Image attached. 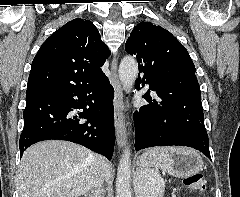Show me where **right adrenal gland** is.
I'll return each mask as SVG.
<instances>
[{
    "label": "right adrenal gland",
    "mask_w": 240,
    "mask_h": 197,
    "mask_svg": "<svg viewBox=\"0 0 240 197\" xmlns=\"http://www.w3.org/2000/svg\"><path fill=\"white\" fill-rule=\"evenodd\" d=\"M103 191H95L92 190L91 192L87 193L85 197H102Z\"/></svg>",
    "instance_id": "right-adrenal-gland-1"
}]
</instances>
